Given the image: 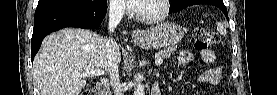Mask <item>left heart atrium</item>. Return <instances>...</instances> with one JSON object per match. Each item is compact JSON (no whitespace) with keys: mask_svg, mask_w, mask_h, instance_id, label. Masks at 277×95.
Wrapping results in <instances>:
<instances>
[{"mask_svg":"<svg viewBox=\"0 0 277 95\" xmlns=\"http://www.w3.org/2000/svg\"><path fill=\"white\" fill-rule=\"evenodd\" d=\"M144 0H122L127 6L137 9Z\"/></svg>","mask_w":277,"mask_h":95,"instance_id":"obj_1","label":"left heart atrium"}]
</instances>
